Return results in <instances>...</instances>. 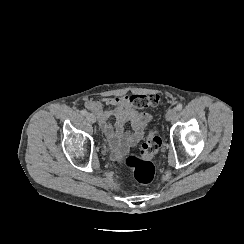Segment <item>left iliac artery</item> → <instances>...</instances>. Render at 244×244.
<instances>
[{
    "label": "left iliac artery",
    "instance_id": "left-iliac-artery-1",
    "mask_svg": "<svg viewBox=\"0 0 244 244\" xmlns=\"http://www.w3.org/2000/svg\"><path fill=\"white\" fill-rule=\"evenodd\" d=\"M175 108H176V110L180 111V110H182L183 105L182 104H178Z\"/></svg>",
    "mask_w": 244,
    "mask_h": 244
}]
</instances>
